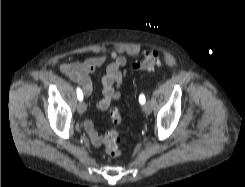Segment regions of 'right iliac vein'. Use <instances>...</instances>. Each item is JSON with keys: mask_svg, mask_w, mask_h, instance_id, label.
<instances>
[{"mask_svg": "<svg viewBox=\"0 0 245 187\" xmlns=\"http://www.w3.org/2000/svg\"><path fill=\"white\" fill-rule=\"evenodd\" d=\"M86 110V104L85 102H80L78 105H77V111L79 114H83Z\"/></svg>", "mask_w": 245, "mask_h": 187, "instance_id": "obj_1", "label": "right iliac vein"}]
</instances>
